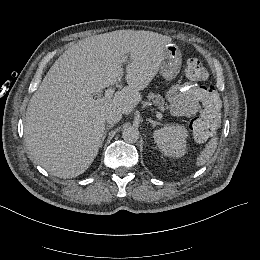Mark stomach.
Instances as JSON below:
<instances>
[{
	"label": "stomach",
	"instance_id": "1",
	"mask_svg": "<svg viewBox=\"0 0 260 260\" xmlns=\"http://www.w3.org/2000/svg\"><path fill=\"white\" fill-rule=\"evenodd\" d=\"M161 76L171 81L179 74L181 66V58L183 57V50L179 46H175L172 42H165L161 46Z\"/></svg>",
	"mask_w": 260,
	"mask_h": 260
}]
</instances>
